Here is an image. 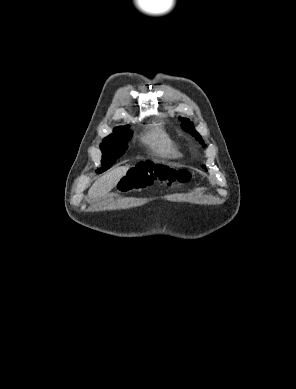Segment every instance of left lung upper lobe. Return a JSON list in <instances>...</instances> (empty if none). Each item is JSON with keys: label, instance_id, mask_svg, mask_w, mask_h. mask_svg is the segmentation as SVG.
I'll return each instance as SVG.
<instances>
[{"label": "left lung upper lobe", "instance_id": "left-lung-upper-lobe-1", "mask_svg": "<svg viewBox=\"0 0 296 389\" xmlns=\"http://www.w3.org/2000/svg\"><path fill=\"white\" fill-rule=\"evenodd\" d=\"M183 123L181 125L182 129L188 133H190L193 137H195L201 144L204 143L203 139L201 136L195 131L193 123L189 121V119L186 118H179ZM205 147V145H203ZM205 168V166H203Z\"/></svg>", "mask_w": 296, "mask_h": 389}]
</instances>
